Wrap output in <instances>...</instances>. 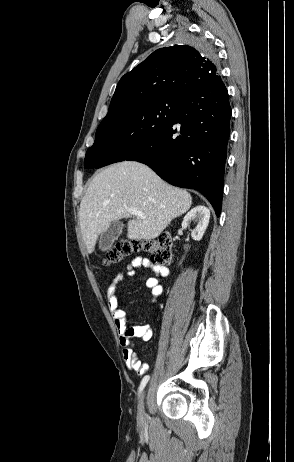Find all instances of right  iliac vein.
I'll return each mask as SVG.
<instances>
[{"mask_svg": "<svg viewBox=\"0 0 294 462\" xmlns=\"http://www.w3.org/2000/svg\"><path fill=\"white\" fill-rule=\"evenodd\" d=\"M143 402H144V393L142 394L141 398H140V401H139V410H138V418H139V421H143L144 418H145V415H144V405H143Z\"/></svg>", "mask_w": 294, "mask_h": 462, "instance_id": "obj_1", "label": "right iliac vein"}]
</instances>
